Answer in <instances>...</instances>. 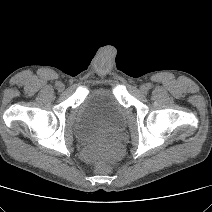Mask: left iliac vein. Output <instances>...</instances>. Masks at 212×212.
Masks as SVG:
<instances>
[{"label": "left iliac vein", "instance_id": "left-iliac-vein-1", "mask_svg": "<svg viewBox=\"0 0 212 212\" xmlns=\"http://www.w3.org/2000/svg\"><path fill=\"white\" fill-rule=\"evenodd\" d=\"M140 90H141L142 93H146L148 88H147L146 85H143V86L140 87Z\"/></svg>", "mask_w": 212, "mask_h": 212}]
</instances>
